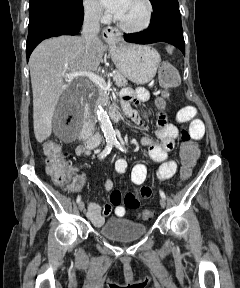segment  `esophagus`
<instances>
[{"label": "esophagus", "mask_w": 240, "mask_h": 288, "mask_svg": "<svg viewBox=\"0 0 240 288\" xmlns=\"http://www.w3.org/2000/svg\"><path fill=\"white\" fill-rule=\"evenodd\" d=\"M103 38L108 43H113L119 39L120 33L112 27H107L102 32Z\"/></svg>", "instance_id": "1"}]
</instances>
